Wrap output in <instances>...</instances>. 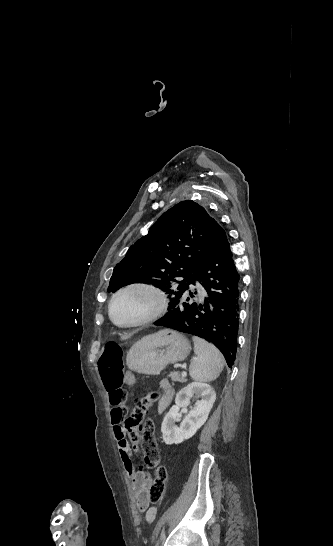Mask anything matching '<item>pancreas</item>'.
<instances>
[{"label":"pancreas","mask_w":333,"mask_h":546,"mask_svg":"<svg viewBox=\"0 0 333 546\" xmlns=\"http://www.w3.org/2000/svg\"><path fill=\"white\" fill-rule=\"evenodd\" d=\"M169 377L171 378L172 381H175V382H186V378L181 376L179 372H171L169 374Z\"/></svg>","instance_id":"obj_1"}]
</instances>
